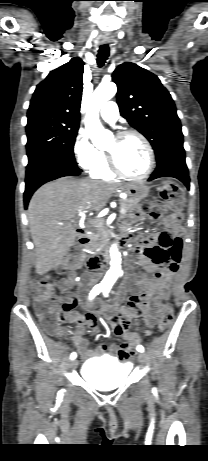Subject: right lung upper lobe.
<instances>
[{
  "instance_id": "1",
  "label": "right lung upper lobe",
  "mask_w": 208,
  "mask_h": 461,
  "mask_svg": "<svg viewBox=\"0 0 208 461\" xmlns=\"http://www.w3.org/2000/svg\"><path fill=\"white\" fill-rule=\"evenodd\" d=\"M84 63L72 58L40 82L30 101L28 118H55L79 122Z\"/></svg>"
}]
</instances>
